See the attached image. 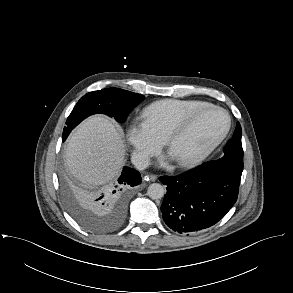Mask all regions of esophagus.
Segmentation results:
<instances>
[{"mask_svg": "<svg viewBox=\"0 0 293 293\" xmlns=\"http://www.w3.org/2000/svg\"><path fill=\"white\" fill-rule=\"evenodd\" d=\"M157 179L156 175H146L144 177V180H150V181H155Z\"/></svg>", "mask_w": 293, "mask_h": 293, "instance_id": "esophagus-1", "label": "esophagus"}]
</instances>
